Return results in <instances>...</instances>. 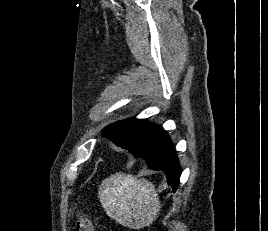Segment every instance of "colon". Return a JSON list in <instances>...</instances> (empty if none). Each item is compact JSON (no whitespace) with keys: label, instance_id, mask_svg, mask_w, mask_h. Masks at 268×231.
I'll use <instances>...</instances> for the list:
<instances>
[{"label":"colon","instance_id":"obj_1","mask_svg":"<svg viewBox=\"0 0 268 231\" xmlns=\"http://www.w3.org/2000/svg\"><path fill=\"white\" fill-rule=\"evenodd\" d=\"M75 231H95V227L88 218L79 216L76 220Z\"/></svg>","mask_w":268,"mask_h":231}]
</instances>
